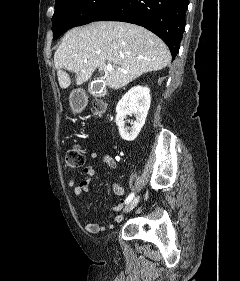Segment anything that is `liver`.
Masks as SVG:
<instances>
[{
	"mask_svg": "<svg viewBox=\"0 0 240 281\" xmlns=\"http://www.w3.org/2000/svg\"><path fill=\"white\" fill-rule=\"evenodd\" d=\"M87 60V62H84ZM171 62L166 44L138 25L124 22H94L71 29L54 54L59 85L66 89L76 74V85L88 81L94 71L113 64L105 83L120 89L144 73L158 71Z\"/></svg>",
	"mask_w": 240,
	"mask_h": 281,
	"instance_id": "6515ba94",
	"label": "liver"
}]
</instances>
